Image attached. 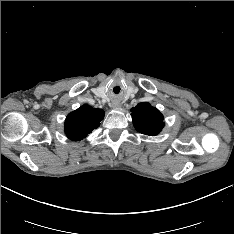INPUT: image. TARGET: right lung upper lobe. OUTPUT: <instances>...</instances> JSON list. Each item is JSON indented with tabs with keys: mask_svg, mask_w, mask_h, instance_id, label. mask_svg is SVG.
<instances>
[{
	"mask_svg": "<svg viewBox=\"0 0 234 234\" xmlns=\"http://www.w3.org/2000/svg\"><path fill=\"white\" fill-rule=\"evenodd\" d=\"M102 109L83 105L68 114L65 120V133L73 141H80L100 125L104 118Z\"/></svg>",
	"mask_w": 234,
	"mask_h": 234,
	"instance_id": "obj_1",
	"label": "right lung upper lobe"
}]
</instances>
